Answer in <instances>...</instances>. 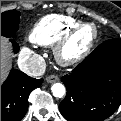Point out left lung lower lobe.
<instances>
[{
  "label": "left lung lower lobe",
  "mask_w": 121,
  "mask_h": 121,
  "mask_svg": "<svg viewBox=\"0 0 121 121\" xmlns=\"http://www.w3.org/2000/svg\"><path fill=\"white\" fill-rule=\"evenodd\" d=\"M59 110L68 121H102L121 104V39H109L62 77Z\"/></svg>",
  "instance_id": "1"
}]
</instances>
